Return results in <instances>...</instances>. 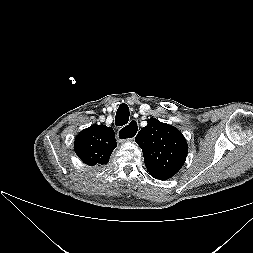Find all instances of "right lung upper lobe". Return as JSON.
<instances>
[{"mask_svg":"<svg viewBox=\"0 0 253 253\" xmlns=\"http://www.w3.org/2000/svg\"><path fill=\"white\" fill-rule=\"evenodd\" d=\"M116 147L115 133L111 127L93 124L75 138L74 150L89 166L105 165Z\"/></svg>","mask_w":253,"mask_h":253,"instance_id":"cb5924a9","label":"right lung upper lobe"}]
</instances>
